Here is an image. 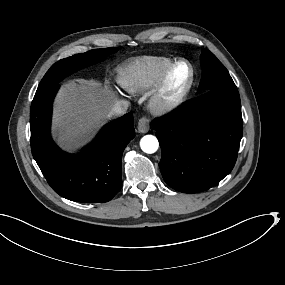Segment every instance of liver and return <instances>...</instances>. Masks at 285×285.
Returning a JSON list of instances; mask_svg holds the SVG:
<instances>
[{
  "label": "liver",
  "instance_id": "6515ba94",
  "mask_svg": "<svg viewBox=\"0 0 285 285\" xmlns=\"http://www.w3.org/2000/svg\"><path fill=\"white\" fill-rule=\"evenodd\" d=\"M117 98L97 83L86 80L64 85L56 103L55 126L66 146H77L103 123Z\"/></svg>",
  "mask_w": 285,
  "mask_h": 285
}]
</instances>
